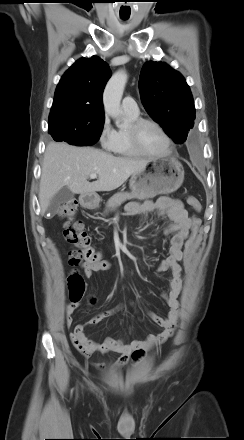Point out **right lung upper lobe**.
<instances>
[{"mask_svg":"<svg viewBox=\"0 0 244 440\" xmlns=\"http://www.w3.org/2000/svg\"><path fill=\"white\" fill-rule=\"evenodd\" d=\"M110 76L108 64L96 56L75 62L56 88L49 121L104 122L102 94Z\"/></svg>","mask_w":244,"mask_h":440,"instance_id":"1","label":"right lung upper lobe"}]
</instances>
